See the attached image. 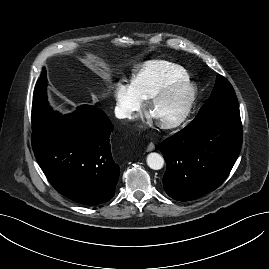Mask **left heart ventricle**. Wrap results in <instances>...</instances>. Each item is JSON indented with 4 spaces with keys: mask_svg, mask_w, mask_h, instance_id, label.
Returning <instances> with one entry per match:
<instances>
[{
    "mask_svg": "<svg viewBox=\"0 0 269 269\" xmlns=\"http://www.w3.org/2000/svg\"><path fill=\"white\" fill-rule=\"evenodd\" d=\"M184 102V94L176 93L159 103L151 112V116L157 121H168L180 113Z\"/></svg>",
    "mask_w": 269,
    "mask_h": 269,
    "instance_id": "obj_1",
    "label": "left heart ventricle"
}]
</instances>
